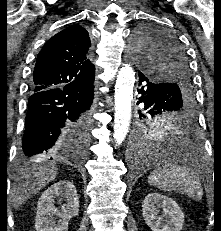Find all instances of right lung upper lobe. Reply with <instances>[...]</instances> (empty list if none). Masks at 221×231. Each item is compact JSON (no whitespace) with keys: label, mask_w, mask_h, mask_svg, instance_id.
I'll use <instances>...</instances> for the list:
<instances>
[{"label":"right lung upper lobe","mask_w":221,"mask_h":231,"mask_svg":"<svg viewBox=\"0 0 221 231\" xmlns=\"http://www.w3.org/2000/svg\"><path fill=\"white\" fill-rule=\"evenodd\" d=\"M88 32L72 25L50 38L40 51L31 81V92L66 85H85L94 80Z\"/></svg>","instance_id":"cb5924a9"}]
</instances>
